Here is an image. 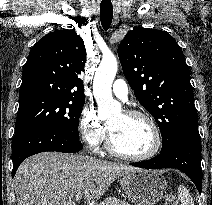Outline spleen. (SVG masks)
I'll use <instances>...</instances> for the list:
<instances>
[{"label": "spleen", "instance_id": "3e777b00", "mask_svg": "<svg viewBox=\"0 0 212 205\" xmlns=\"http://www.w3.org/2000/svg\"><path fill=\"white\" fill-rule=\"evenodd\" d=\"M178 199L180 200L181 205H194L192 196L183 185H180L178 188Z\"/></svg>", "mask_w": 212, "mask_h": 205}]
</instances>
